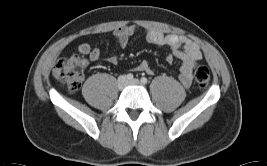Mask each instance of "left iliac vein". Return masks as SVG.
<instances>
[{
	"label": "left iliac vein",
	"mask_w": 267,
	"mask_h": 166,
	"mask_svg": "<svg viewBox=\"0 0 267 166\" xmlns=\"http://www.w3.org/2000/svg\"><path fill=\"white\" fill-rule=\"evenodd\" d=\"M130 84H139V81L137 79H133L129 81Z\"/></svg>",
	"instance_id": "1"
}]
</instances>
